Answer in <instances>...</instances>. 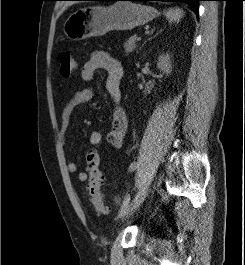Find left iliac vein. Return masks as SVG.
<instances>
[{"label":"left iliac vein","mask_w":245,"mask_h":265,"mask_svg":"<svg viewBox=\"0 0 245 265\" xmlns=\"http://www.w3.org/2000/svg\"><path fill=\"white\" fill-rule=\"evenodd\" d=\"M149 187H144L142 190L138 192L135 199L131 203V206L128 207L127 211L121 215L123 219L130 217L132 213L140 206V204L144 201L145 197L147 196L149 192Z\"/></svg>","instance_id":"left-iliac-vein-1"}]
</instances>
